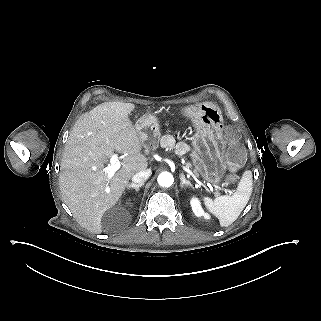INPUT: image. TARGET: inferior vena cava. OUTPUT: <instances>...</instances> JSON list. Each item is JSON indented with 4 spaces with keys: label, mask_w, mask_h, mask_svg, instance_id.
Returning <instances> with one entry per match:
<instances>
[{
    "label": "inferior vena cava",
    "mask_w": 321,
    "mask_h": 321,
    "mask_svg": "<svg viewBox=\"0 0 321 321\" xmlns=\"http://www.w3.org/2000/svg\"><path fill=\"white\" fill-rule=\"evenodd\" d=\"M152 174L150 169L138 172L132 176V181L136 184L144 183Z\"/></svg>",
    "instance_id": "602c4592"
}]
</instances>
